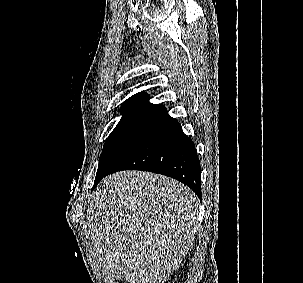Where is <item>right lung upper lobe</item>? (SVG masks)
Here are the masks:
<instances>
[{
	"mask_svg": "<svg viewBox=\"0 0 303 283\" xmlns=\"http://www.w3.org/2000/svg\"><path fill=\"white\" fill-rule=\"evenodd\" d=\"M149 96L145 92H140L127 99L120 108V113L125 116H149L158 118L167 112L166 108L160 104H151Z\"/></svg>",
	"mask_w": 303,
	"mask_h": 283,
	"instance_id": "right-lung-upper-lobe-1",
	"label": "right lung upper lobe"
}]
</instances>
